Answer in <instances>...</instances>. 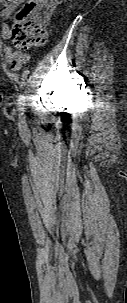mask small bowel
Wrapping results in <instances>:
<instances>
[{
  "mask_svg": "<svg viewBox=\"0 0 127 303\" xmlns=\"http://www.w3.org/2000/svg\"><path fill=\"white\" fill-rule=\"evenodd\" d=\"M22 2L23 0H14L12 4L6 6L0 12V30L4 39L10 38L11 34L10 27L6 21L12 17L14 10ZM3 51L6 62L14 71L20 70L28 61V56L22 50L14 49L10 45H4Z\"/></svg>",
  "mask_w": 127,
  "mask_h": 303,
  "instance_id": "small-bowel-1",
  "label": "small bowel"
}]
</instances>
